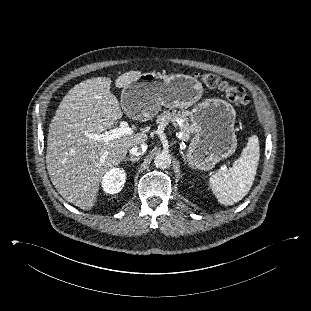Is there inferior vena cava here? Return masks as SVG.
I'll list each match as a JSON object with an SVG mask.
<instances>
[{
    "instance_id": "602c4592",
    "label": "inferior vena cava",
    "mask_w": 311,
    "mask_h": 311,
    "mask_svg": "<svg viewBox=\"0 0 311 311\" xmlns=\"http://www.w3.org/2000/svg\"><path fill=\"white\" fill-rule=\"evenodd\" d=\"M147 150V145L145 143H142L140 147L137 145L133 146L129 152L133 156H140Z\"/></svg>"
}]
</instances>
